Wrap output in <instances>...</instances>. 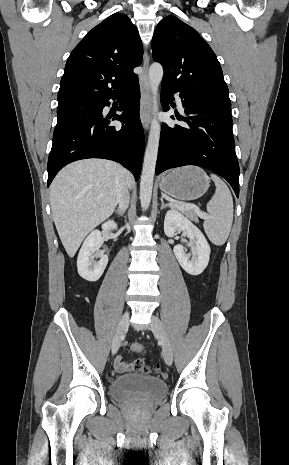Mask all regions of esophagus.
Returning a JSON list of instances; mask_svg holds the SVG:
<instances>
[{
	"label": "esophagus",
	"instance_id": "1",
	"mask_svg": "<svg viewBox=\"0 0 289 465\" xmlns=\"http://www.w3.org/2000/svg\"><path fill=\"white\" fill-rule=\"evenodd\" d=\"M149 70V55L146 52L143 59V73L140 78L141 87V123L143 129L148 131L151 122L150 109H151V93H150V82L148 77Z\"/></svg>",
	"mask_w": 289,
	"mask_h": 465
}]
</instances>
